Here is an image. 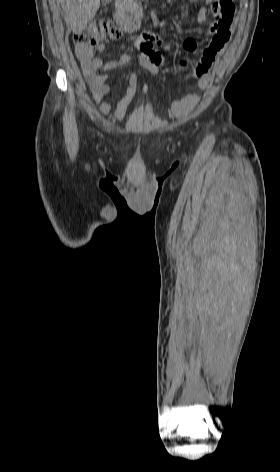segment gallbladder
Wrapping results in <instances>:
<instances>
[{
    "instance_id": "gallbladder-1",
    "label": "gallbladder",
    "mask_w": 280,
    "mask_h": 472,
    "mask_svg": "<svg viewBox=\"0 0 280 472\" xmlns=\"http://www.w3.org/2000/svg\"><path fill=\"white\" fill-rule=\"evenodd\" d=\"M111 0H102L103 5H107Z\"/></svg>"
}]
</instances>
